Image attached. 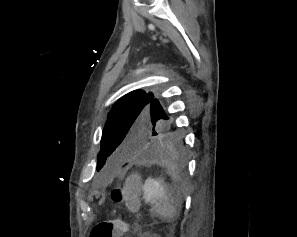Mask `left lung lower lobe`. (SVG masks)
Segmentation results:
<instances>
[{
  "instance_id": "left-lung-lower-lobe-1",
  "label": "left lung lower lobe",
  "mask_w": 297,
  "mask_h": 237,
  "mask_svg": "<svg viewBox=\"0 0 297 237\" xmlns=\"http://www.w3.org/2000/svg\"><path fill=\"white\" fill-rule=\"evenodd\" d=\"M174 155L177 157L185 156V144L176 128L169 126L164 129L159 137L152 143L148 158Z\"/></svg>"
}]
</instances>
